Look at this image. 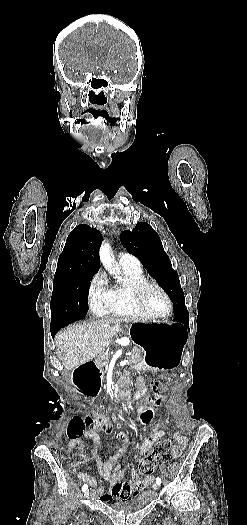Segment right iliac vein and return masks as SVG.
I'll return each mask as SVG.
<instances>
[{
    "mask_svg": "<svg viewBox=\"0 0 247 525\" xmlns=\"http://www.w3.org/2000/svg\"><path fill=\"white\" fill-rule=\"evenodd\" d=\"M89 495H90L89 490H86L85 493H84V497H89Z\"/></svg>",
    "mask_w": 247,
    "mask_h": 525,
    "instance_id": "63e3f726",
    "label": "right iliac vein"
}]
</instances>
